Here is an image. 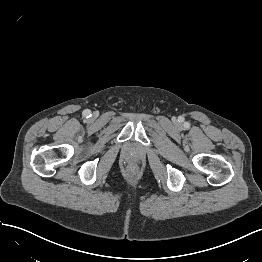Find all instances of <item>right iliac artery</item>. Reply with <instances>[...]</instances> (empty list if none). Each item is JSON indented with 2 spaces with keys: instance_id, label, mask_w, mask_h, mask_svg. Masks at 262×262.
Here are the masks:
<instances>
[{
  "instance_id": "obj_1",
  "label": "right iliac artery",
  "mask_w": 262,
  "mask_h": 262,
  "mask_svg": "<svg viewBox=\"0 0 262 262\" xmlns=\"http://www.w3.org/2000/svg\"><path fill=\"white\" fill-rule=\"evenodd\" d=\"M83 116H84L85 118L91 117V111L88 110V109L84 110V111H83Z\"/></svg>"
}]
</instances>
